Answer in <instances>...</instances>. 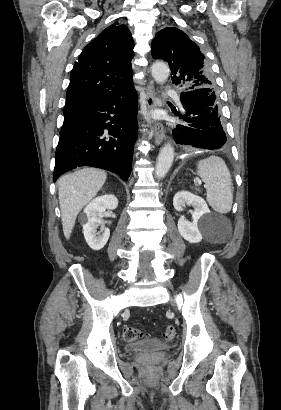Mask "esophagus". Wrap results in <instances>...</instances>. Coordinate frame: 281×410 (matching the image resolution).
Wrapping results in <instances>:
<instances>
[{
    "mask_svg": "<svg viewBox=\"0 0 281 410\" xmlns=\"http://www.w3.org/2000/svg\"><path fill=\"white\" fill-rule=\"evenodd\" d=\"M146 105L149 110H153L159 107V102L156 97L154 87L148 85L146 88ZM165 138V129L162 123L156 122L154 125V141L156 145H159Z\"/></svg>",
    "mask_w": 281,
    "mask_h": 410,
    "instance_id": "obj_1",
    "label": "esophagus"
}]
</instances>
